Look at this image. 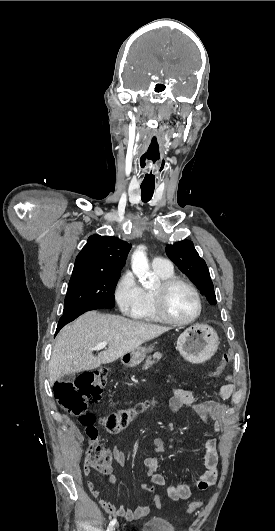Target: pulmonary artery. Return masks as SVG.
<instances>
[{"mask_svg":"<svg viewBox=\"0 0 275 531\" xmlns=\"http://www.w3.org/2000/svg\"><path fill=\"white\" fill-rule=\"evenodd\" d=\"M152 270L153 272H171V263L170 261H162V258L157 256L152 263Z\"/></svg>","mask_w":275,"mask_h":531,"instance_id":"e3ab8cb5","label":"pulmonary artery"}]
</instances>
